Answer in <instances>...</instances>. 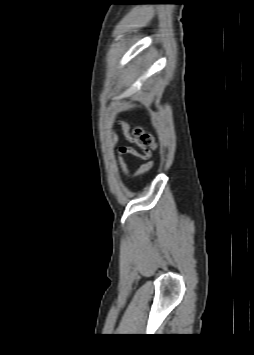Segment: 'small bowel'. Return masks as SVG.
Masks as SVG:
<instances>
[{
    "label": "small bowel",
    "instance_id": "obj_1",
    "mask_svg": "<svg viewBox=\"0 0 254 355\" xmlns=\"http://www.w3.org/2000/svg\"><path fill=\"white\" fill-rule=\"evenodd\" d=\"M121 130H122V133L124 134V136L128 140H130L131 142H136L135 138L131 136V134L129 132V127L127 124L123 123L121 125ZM111 138H112L113 143L117 142L118 135L115 131H113L111 133ZM139 146L143 148L142 145L139 144ZM117 153H118V162L121 166V172H122L123 176L125 178H127L128 180H134V179L142 176L143 174L149 172L154 167V162L152 160H150L151 153L147 149L143 148V151L139 152L138 150H136L135 148H133L131 146L121 145L117 148ZM126 154L135 156L137 158L145 160L146 162L143 163L142 165H140L139 168L134 173H130L126 164H125L124 155H126Z\"/></svg>",
    "mask_w": 254,
    "mask_h": 355
}]
</instances>
